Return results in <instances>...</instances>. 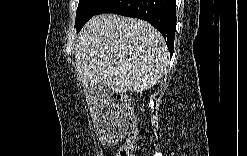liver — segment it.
<instances>
[{
    "label": "liver",
    "instance_id": "obj_1",
    "mask_svg": "<svg viewBox=\"0 0 247 156\" xmlns=\"http://www.w3.org/2000/svg\"><path fill=\"white\" fill-rule=\"evenodd\" d=\"M75 60L85 88L102 81L117 93H141L167 71L169 52L151 24L102 14L80 31Z\"/></svg>",
    "mask_w": 247,
    "mask_h": 156
}]
</instances>
